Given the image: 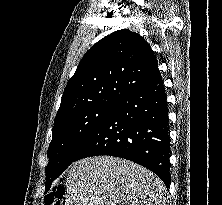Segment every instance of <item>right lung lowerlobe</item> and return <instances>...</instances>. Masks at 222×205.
<instances>
[{
    "mask_svg": "<svg viewBox=\"0 0 222 205\" xmlns=\"http://www.w3.org/2000/svg\"><path fill=\"white\" fill-rule=\"evenodd\" d=\"M110 155L136 162L170 184V136L161 75L129 92L97 127L75 161Z\"/></svg>",
    "mask_w": 222,
    "mask_h": 205,
    "instance_id": "1",
    "label": "right lung lower lobe"
}]
</instances>
